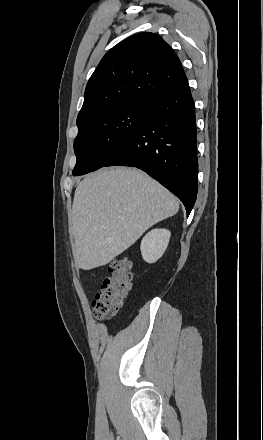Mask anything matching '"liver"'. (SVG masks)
Instances as JSON below:
<instances>
[{
    "label": "liver",
    "mask_w": 263,
    "mask_h": 440,
    "mask_svg": "<svg viewBox=\"0 0 263 440\" xmlns=\"http://www.w3.org/2000/svg\"><path fill=\"white\" fill-rule=\"evenodd\" d=\"M178 210L177 199L167 189L135 168L102 169L83 179L71 214L76 265L91 270L108 264Z\"/></svg>",
    "instance_id": "obj_1"
}]
</instances>
